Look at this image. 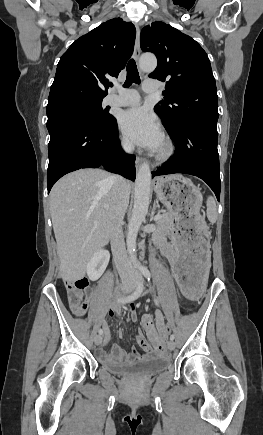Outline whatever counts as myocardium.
I'll return each mask as SVG.
<instances>
[{
	"label": "myocardium",
	"instance_id": "1",
	"mask_svg": "<svg viewBox=\"0 0 263 435\" xmlns=\"http://www.w3.org/2000/svg\"><path fill=\"white\" fill-rule=\"evenodd\" d=\"M175 153V146L171 139L165 138L162 142V147L154 153V159L157 162H165L169 160Z\"/></svg>",
	"mask_w": 263,
	"mask_h": 435
}]
</instances>
